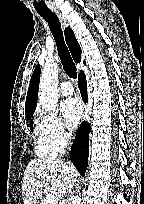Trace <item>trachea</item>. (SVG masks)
Here are the masks:
<instances>
[{"label": "trachea", "mask_w": 144, "mask_h": 204, "mask_svg": "<svg viewBox=\"0 0 144 204\" xmlns=\"http://www.w3.org/2000/svg\"><path fill=\"white\" fill-rule=\"evenodd\" d=\"M40 16L43 17L47 21L49 28L53 34V37L56 41L58 54H59L61 63L63 65L64 71L69 77L76 79L77 77L76 66L64 42L62 28L59 22V18L53 12L40 13Z\"/></svg>", "instance_id": "trachea-1"}]
</instances>
